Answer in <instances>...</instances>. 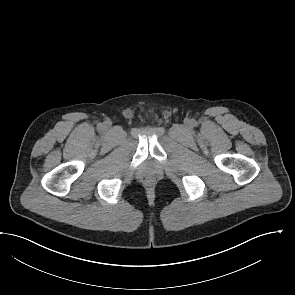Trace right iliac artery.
I'll list each match as a JSON object with an SVG mask.
<instances>
[{
  "instance_id": "right-iliac-artery-1",
  "label": "right iliac artery",
  "mask_w": 295,
  "mask_h": 295,
  "mask_svg": "<svg viewBox=\"0 0 295 295\" xmlns=\"http://www.w3.org/2000/svg\"><path fill=\"white\" fill-rule=\"evenodd\" d=\"M98 128H99V129H103V124H101V123L98 124Z\"/></svg>"
}]
</instances>
